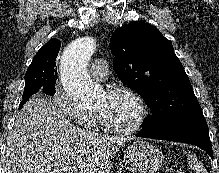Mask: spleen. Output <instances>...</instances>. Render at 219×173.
I'll list each match as a JSON object with an SVG mask.
<instances>
[{"instance_id":"spleen-1","label":"spleen","mask_w":219,"mask_h":173,"mask_svg":"<svg viewBox=\"0 0 219 173\" xmlns=\"http://www.w3.org/2000/svg\"><path fill=\"white\" fill-rule=\"evenodd\" d=\"M188 160H189L191 166H193V168L196 170V173H200V172L203 171L202 166H200V165L195 161V160H196V159H195V156H192V155L188 156Z\"/></svg>"}]
</instances>
